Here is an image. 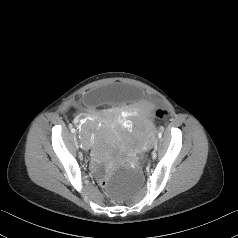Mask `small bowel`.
Instances as JSON below:
<instances>
[{"mask_svg": "<svg viewBox=\"0 0 238 238\" xmlns=\"http://www.w3.org/2000/svg\"><path fill=\"white\" fill-rule=\"evenodd\" d=\"M147 117H149V115H147ZM85 119V117L84 116H78L77 118H76V122L77 123H81L83 120Z\"/></svg>", "mask_w": 238, "mask_h": 238, "instance_id": "small-bowel-1", "label": "small bowel"}]
</instances>
